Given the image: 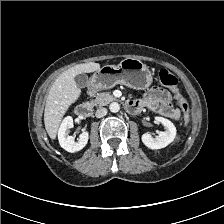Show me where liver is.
I'll use <instances>...</instances> for the list:
<instances>
[{
  "label": "liver",
  "instance_id": "1",
  "mask_svg": "<svg viewBox=\"0 0 224 224\" xmlns=\"http://www.w3.org/2000/svg\"><path fill=\"white\" fill-rule=\"evenodd\" d=\"M98 63L78 64L64 71L49 90L45 111V129L51 139H55L61 120L68 108L79 98L81 91L75 83V76L81 73L98 71Z\"/></svg>",
  "mask_w": 224,
  "mask_h": 224
}]
</instances>
